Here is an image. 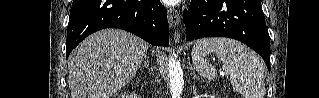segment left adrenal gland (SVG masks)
<instances>
[{"label":"left adrenal gland","instance_id":"1","mask_svg":"<svg viewBox=\"0 0 319 98\" xmlns=\"http://www.w3.org/2000/svg\"><path fill=\"white\" fill-rule=\"evenodd\" d=\"M191 69H192V72H193L194 78H196V79H197V77H196V74H195V72H194L193 67H191Z\"/></svg>","mask_w":319,"mask_h":98}]
</instances>
